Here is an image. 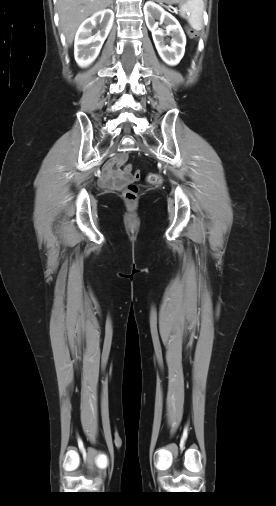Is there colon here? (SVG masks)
Masks as SVG:
<instances>
[{
	"instance_id": "colon-1",
	"label": "colon",
	"mask_w": 276,
	"mask_h": 506,
	"mask_svg": "<svg viewBox=\"0 0 276 506\" xmlns=\"http://www.w3.org/2000/svg\"><path fill=\"white\" fill-rule=\"evenodd\" d=\"M188 33L192 38L196 37V32L194 30H188ZM124 169L127 172L132 171V167L130 165H126ZM139 178H140V171L135 170L133 173V182H131L128 185L127 189L123 193L124 200H126L129 203H134L138 198L137 186L135 185L134 182L137 181ZM147 181L150 184L159 185L162 182V178L159 173H149L147 176Z\"/></svg>"
}]
</instances>
